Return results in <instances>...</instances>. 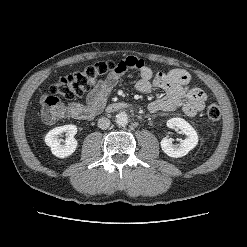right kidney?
<instances>
[{
    "label": "right kidney",
    "mask_w": 247,
    "mask_h": 247,
    "mask_svg": "<svg viewBox=\"0 0 247 247\" xmlns=\"http://www.w3.org/2000/svg\"><path fill=\"white\" fill-rule=\"evenodd\" d=\"M61 133H66L68 136L63 145L58 140V136ZM76 133L77 127L72 124L56 127L47 133L45 142L51 148L53 155L58 158H66L72 155L77 148L78 142L74 138Z\"/></svg>",
    "instance_id": "ca27d5eb"
}]
</instances>
